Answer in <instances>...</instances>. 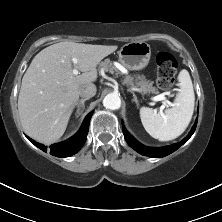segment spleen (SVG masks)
<instances>
[{
  "mask_svg": "<svg viewBox=\"0 0 222 222\" xmlns=\"http://www.w3.org/2000/svg\"><path fill=\"white\" fill-rule=\"evenodd\" d=\"M180 91L174 107L164 113L149 107L140 108V118L145 130L159 141H170L179 137L188 127L194 111V90L190 75L183 69L178 75Z\"/></svg>",
  "mask_w": 222,
  "mask_h": 222,
  "instance_id": "obj_1",
  "label": "spleen"
}]
</instances>
